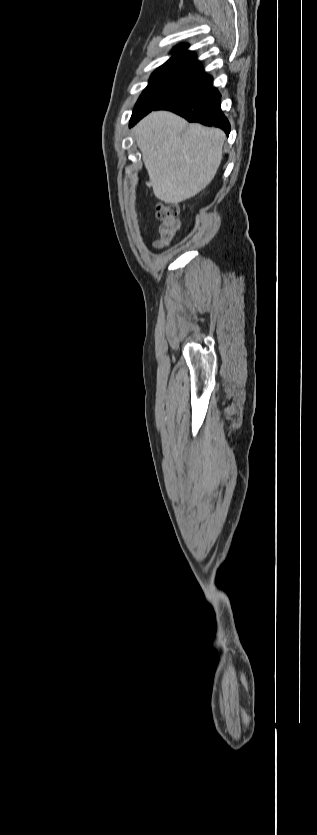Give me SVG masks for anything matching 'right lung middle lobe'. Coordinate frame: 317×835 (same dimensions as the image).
<instances>
[{
  "mask_svg": "<svg viewBox=\"0 0 317 835\" xmlns=\"http://www.w3.org/2000/svg\"><path fill=\"white\" fill-rule=\"evenodd\" d=\"M207 81L191 60L165 64L151 75L147 88L140 96L131 117L130 126L144 115L170 99L190 91Z\"/></svg>",
  "mask_w": 317,
  "mask_h": 835,
  "instance_id": "right-lung-middle-lobe-1",
  "label": "right lung middle lobe"
}]
</instances>
